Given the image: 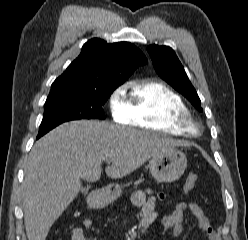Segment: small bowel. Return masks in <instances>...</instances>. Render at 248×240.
<instances>
[{
	"instance_id": "obj_1",
	"label": "small bowel",
	"mask_w": 248,
	"mask_h": 240,
	"mask_svg": "<svg viewBox=\"0 0 248 240\" xmlns=\"http://www.w3.org/2000/svg\"><path fill=\"white\" fill-rule=\"evenodd\" d=\"M165 198V194L160 193L155 196L150 189L138 190L133 194V204L142 209V224L144 228L154 224L157 219L158 215L155 210L156 199L163 200ZM186 210L191 211L197 226L209 240H218V236L210 225L207 216L196 203L179 202L171 213L163 217L162 227L164 231H169L174 237H178L183 230L184 213ZM91 224V220H85L81 225L74 227L71 240H93L84 235V230L91 226Z\"/></svg>"
}]
</instances>
